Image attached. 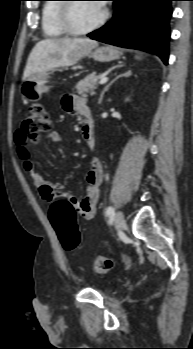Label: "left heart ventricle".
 I'll return each mask as SVG.
<instances>
[{
  "instance_id": "1",
  "label": "left heart ventricle",
  "mask_w": 193,
  "mask_h": 349,
  "mask_svg": "<svg viewBox=\"0 0 193 349\" xmlns=\"http://www.w3.org/2000/svg\"><path fill=\"white\" fill-rule=\"evenodd\" d=\"M103 8L99 4L89 2L75 3L71 9L72 24L76 29H84L93 25L102 15Z\"/></svg>"
}]
</instances>
